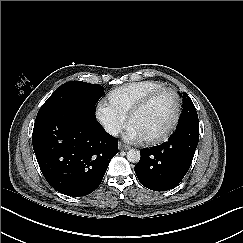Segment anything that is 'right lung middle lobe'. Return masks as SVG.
I'll list each match as a JSON object with an SVG mask.
<instances>
[{
    "label": "right lung middle lobe",
    "mask_w": 243,
    "mask_h": 243,
    "mask_svg": "<svg viewBox=\"0 0 243 243\" xmlns=\"http://www.w3.org/2000/svg\"><path fill=\"white\" fill-rule=\"evenodd\" d=\"M103 94V87L99 84L70 81L56 89L42 105L38 114L51 107L73 105L81 108L90 119L95 120V105Z\"/></svg>",
    "instance_id": "right-lung-middle-lobe-1"
}]
</instances>
